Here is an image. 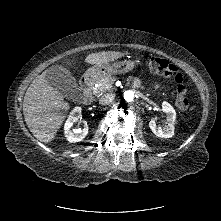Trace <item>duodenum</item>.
Masks as SVG:
<instances>
[{"label": "duodenum", "instance_id": "1", "mask_svg": "<svg viewBox=\"0 0 221 221\" xmlns=\"http://www.w3.org/2000/svg\"><path fill=\"white\" fill-rule=\"evenodd\" d=\"M92 78L90 76H83L80 79V88L82 90L81 102L88 104L92 100L91 87H92Z\"/></svg>", "mask_w": 221, "mask_h": 221}]
</instances>
